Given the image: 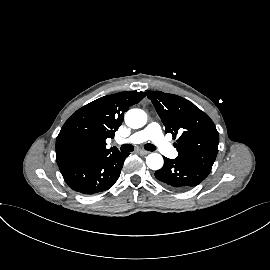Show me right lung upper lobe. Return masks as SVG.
I'll list each match as a JSON object with an SVG mask.
<instances>
[{
	"label": "right lung upper lobe",
	"instance_id": "cb5924a9",
	"mask_svg": "<svg viewBox=\"0 0 270 270\" xmlns=\"http://www.w3.org/2000/svg\"><path fill=\"white\" fill-rule=\"evenodd\" d=\"M145 97L144 92L128 91L101 97L77 110L63 125L56 139L58 166L94 155L118 151L106 148L128 108Z\"/></svg>",
	"mask_w": 270,
	"mask_h": 270
}]
</instances>
